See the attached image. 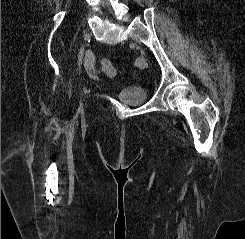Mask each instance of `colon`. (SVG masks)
Returning <instances> with one entry per match:
<instances>
[{
	"mask_svg": "<svg viewBox=\"0 0 245 239\" xmlns=\"http://www.w3.org/2000/svg\"><path fill=\"white\" fill-rule=\"evenodd\" d=\"M102 67L105 73L109 76H115L117 74V70L112 62L108 59H104L102 61Z\"/></svg>",
	"mask_w": 245,
	"mask_h": 239,
	"instance_id": "1",
	"label": "colon"
}]
</instances>
